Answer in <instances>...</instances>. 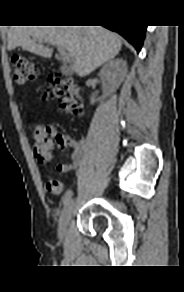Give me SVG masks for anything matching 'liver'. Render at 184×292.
<instances>
[{"instance_id":"1","label":"liver","mask_w":184,"mask_h":292,"mask_svg":"<svg viewBox=\"0 0 184 292\" xmlns=\"http://www.w3.org/2000/svg\"><path fill=\"white\" fill-rule=\"evenodd\" d=\"M34 39L67 50L75 73L81 77L114 58L122 47L119 36L101 26H12L8 32L7 48L13 50L21 46L50 58L52 49L37 44Z\"/></svg>"}]
</instances>
